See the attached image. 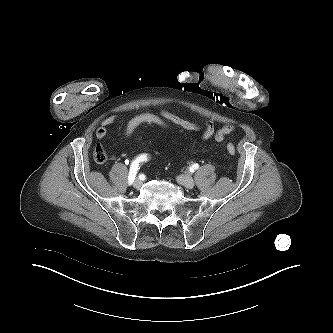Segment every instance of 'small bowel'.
Listing matches in <instances>:
<instances>
[{
  "label": "small bowel",
  "instance_id": "1",
  "mask_svg": "<svg viewBox=\"0 0 333 333\" xmlns=\"http://www.w3.org/2000/svg\"><path fill=\"white\" fill-rule=\"evenodd\" d=\"M160 114L170 123L184 130L187 131L203 130V136H202L203 141H209L211 139H214L217 142H224L226 137L229 134L233 133L235 130L234 126L232 125H224L223 127L217 130L214 122L210 119H207L202 123H198L182 118L170 111H162ZM118 119L119 117L117 115H111L103 119L100 127L96 131V137L99 140H103L107 135V127L114 124Z\"/></svg>",
  "mask_w": 333,
  "mask_h": 333
}]
</instances>
